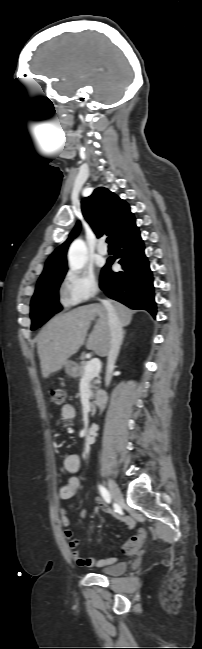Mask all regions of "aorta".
Segmentation results:
<instances>
[{"label":"aorta","instance_id":"1","mask_svg":"<svg viewBox=\"0 0 202 649\" xmlns=\"http://www.w3.org/2000/svg\"><path fill=\"white\" fill-rule=\"evenodd\" d=\"M69 265L72 269H82L87 261L86 258V245L85 243L77 239L70 246L68 252Z\"/></svg>","mask_w":202,"mask_h":649}]
</instances>
